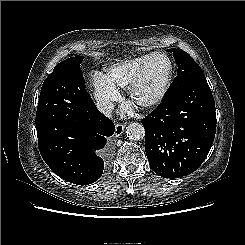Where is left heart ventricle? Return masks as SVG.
I'll list each match as a JSON object with an SVG mask.
<instances>
[{
	"label": "left heart ventricle",
	"mask_w": 245,
	"mask_h": 245,
	"mask_svg": "<svg viewBox=\"0 0 245 245\" xmlns=\"http://www.w3.org/2000/svg\"><path fill=\"white\" fill-rule=\"evenodd\" d=\"M168 69L167 60L163 57H153L148 64L145 77L136 92L138 101L153 98L160 90Z\"/></svg>",
	"instance_id": "left-heart-ventricle-1"
}]
</instances>
